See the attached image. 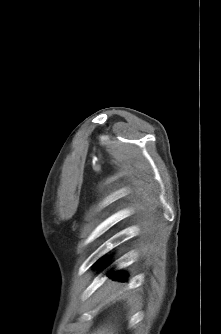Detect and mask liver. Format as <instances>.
Returning <instances> with one entry per match:
<instances>
[{
  "mask_svg": "<svg viewBox=\"0 0 221 334\" xmlns=\"http://www.w3.org/2000/svg\"><path fill=\"white\" fill-rule=\"evenodd\" d=\"M114 333L115 331L113 330V328L109 326V327L100 328L97 331L92 332L91 334H114Z\"/></svg>",
  "mask_w": 221,
  "mask_h": 334,
  "instance_id": "6515ba94",
  "label": "liver"
}]
</instances>
